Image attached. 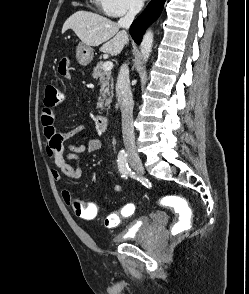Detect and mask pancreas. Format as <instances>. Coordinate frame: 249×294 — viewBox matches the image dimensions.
Here are the masks:
<instances>
[{
    "label": "pancreas",
    "mask_w": 249,
    "mask_h": 294,
    "mask_svg": "<svg viewBox=\"0 0 249 294\" xmlns=\"http://www.w3.org/2000/svg\"><path fill=\"white\" fill-rule=\"evenodd\" d=\"M92 77L96 80L99 79L101 89L97 109L103 110L105 107L110 106L111 99L113 97L114 83L111 71L103 70V62L100 61L97 63L96 67H94Z\"/></svg>",
    "instance_id": "pancreas-1"
}]
</instances>
